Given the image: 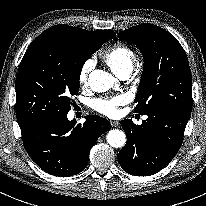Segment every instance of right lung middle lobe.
<instances>
[{"mask_svg": "<svg viewBox=\"0 0 206 206\" xmlns=\"http://www.w3.org/2000/svg\"><path fill=\"white\" fill-rule=\"evenodd\" d=\"M108 41H85L57 32L41 33L28 47L16 78V112L20 128L56 120L71 108L85 61Z\"/></svg>", "mask_w": 206, "mask_h": 206, "instance_id": "dd1d6c3e", "label": "right lung middle lobe"}]
</instances>
